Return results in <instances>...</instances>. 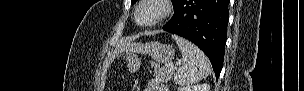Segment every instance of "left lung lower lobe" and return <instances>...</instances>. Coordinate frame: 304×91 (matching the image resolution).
I'll return each mask as SVG.
<instances>
[{
    "instance_id": "left-lung-lower-lobe-1",
    "label": "left lung lower lobe",
    "mask_w": 304,
    "mask_h": 91,
    "mask_svg": "<svg viewBox=\"0 0 304 91\" xmlns=\"http://www.w3.org/2000/svg\"><path fill=\"white\" fill-rule=\"evenodd\" d=\"M229 0H179L162 29L188 39L210 59L218 79L223 67Z\"/></svg>"
}]
</instances>
